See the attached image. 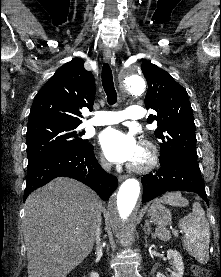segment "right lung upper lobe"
<instances>
[{"label":"right lung upper lobe","mask_w":221,"mask_h":277,"mask_svg":"<svg viewBox=\"0 0 221 277\" xmlns=\"http://www.w3.org/2000/svg\"><path fill=\"white\" fill-rule=\"evenodd\" d=\"M95 79L80 58L62 65L34 98L28 126L47 123L81 124L79 109H93Z\"/></svg>","instance_id":"right-lung-upper-lobe-1"}]
</instances>
